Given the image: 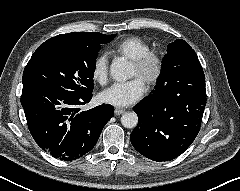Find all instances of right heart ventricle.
Returning a JSON list of instances; mask_svg holds the SVG:
<instances>
[{
	"mask_svg": "<svg viewBox=\"0 0 240 191\" xmlns=\"http://www.w3.org/2000/svg\"><path fill=\"white\" fill-rule=\"evenodd\" d=\"M151 47L147 41L140 37L130 36L118 41L113 46V51L130 60L138 59L149 52Z\"/></svg>",
	"mask_w": 240,
	"mask_h": 191,
	"instance_id": "e07e8e85",
	"label": "right heart ventricle"
}]
</instances>
